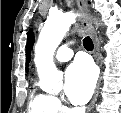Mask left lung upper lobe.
<instances>
[{"instance_id":"5c2ea615","label":"left lung upper lobe","mask_w":121,"mask_h":113,"mask_svg":"<svg viewBox=\"0 0 121 113\" xmlns=\"http://www.w3.org/2000/svg\"><path fill=\"white\" fill-rule=\"evenodd\" d=\"M28 34V42H27V62H29L30 60V49L34 43V35H33V32H32V29H30V31L27 33ZM28 65V63H27ZM28 70V69H27Z\"/></svg>"}]
</instances>
